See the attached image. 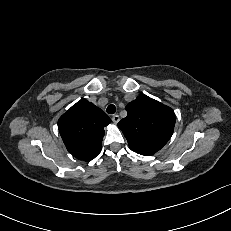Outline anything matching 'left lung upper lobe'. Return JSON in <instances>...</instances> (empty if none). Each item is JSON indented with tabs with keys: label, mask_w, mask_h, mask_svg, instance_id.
I'll return each instance as SVG.
<instances>
[{
	"label": "left lung upper lobe",
	"mask_w": 231,
	"mask_h": 231,
	"mask_svg": "<svg viewBox=\"0 0 231 231\" xmlns=\"http://www.w3.org/2000/svg\"><path fill=\"white\" fill-rule=\"evenodd\" d=\"M127 117L118 127L129 147L141 155H153L170 139L175 125V113L162 103L141 94L126 106Z\"/></svg>",
	"instance_id": "5c2ea615"
}]
</instances>
